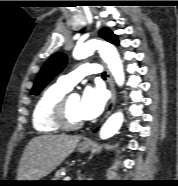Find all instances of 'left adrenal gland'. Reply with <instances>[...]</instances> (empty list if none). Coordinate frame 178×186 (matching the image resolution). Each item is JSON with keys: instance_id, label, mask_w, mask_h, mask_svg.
Returning <instances> with one entry per match:
<instances>
[{"instance_id": "1", "label": "left adrenal gland", "mask_w": 178, "mask_h": 186, "mask_svg": "<svg viewBox=\"0 0 178 186\" xmlns=\"http://www.w3.org/2000/svg\"><path fill=\"white\" fill-rule=\"evenodd\" d=\"M78 180L79 181H82L83 179H82V176L80 175V172H79V174H78Z\"/></svg>"}]
</instances>
